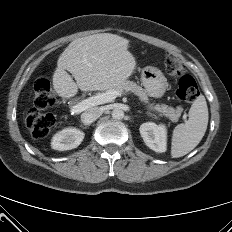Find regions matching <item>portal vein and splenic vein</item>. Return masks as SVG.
I'll return each mask as SVG.
<instances>
[{"instance_id":"1","label":"portal vein and splenic vein","mask_w":232,"mask_h":232,"mask_svg":"<svg viewBox=\"0 0 232 232\" xmlns=\"http://www.w3.org/2000/svg\"><path fill=\"white\" fill-rule=\"evenodd\" d=\"M122 91H107L92 97H89L78 104L72 106L70 111L73 113H81L82 111L96 105L104 104L113 101L116 97L121 96ZM186 115L183 116L186 119Z\"/></svg>"}]
</instances>
